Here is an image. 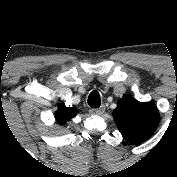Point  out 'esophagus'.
I'll use <instances>...</instances> for the list:
<instances>
[{
  "instance_id": "34e87169",
  "label": "esophagus",
  "mask_w": 177,
  "mask_h": 177,
  "mask_svg": "<svg viewBox=\"0 0 177 177\" xmlns=\"http://www.w3.org/2000/svg\"><path fill=\"white\" fill-rule=\"evenodd\" d=\"M105 111V107L101 106L100 108L90 109V114L92 115H101Z\"/></svg>"
}]
</instances>
